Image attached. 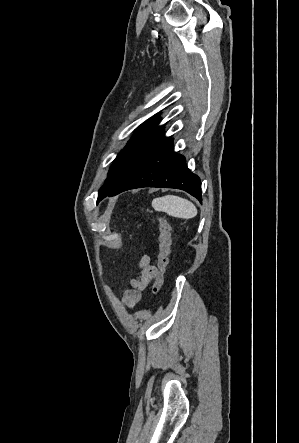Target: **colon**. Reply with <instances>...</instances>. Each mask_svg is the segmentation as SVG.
Masks as SVG:
<instances>
[{
	"label": "colon",
	"instance_id": "obj_1",
	"mask_svg": "<svg viewBox=\"0 0 299 443\" xmlns=\"http://www.w3.org/2000/svg\"><path fill=\"white\" fill-rule=\"evenodd\" d=\"M153 223L158 228V260L155 272V283L153 291L158 294L163 286L164 273L168 265L170 244H171V232L170 226L165 218L157 216L153 218Z\"/></svg>",
	"mask_w": 299,
	"mask_h": 443
}]
</instances>
